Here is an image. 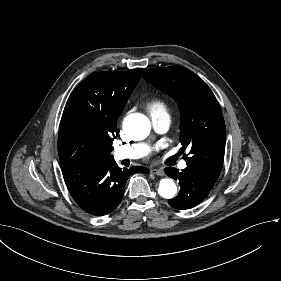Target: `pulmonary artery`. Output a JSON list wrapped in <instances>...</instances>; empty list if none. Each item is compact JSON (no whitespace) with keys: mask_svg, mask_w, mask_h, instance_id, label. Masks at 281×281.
Returning <instances> with one entry per match:
<instances>
[{"mask_svg":"<svg viewBox=\"0 0 281 281\" xmlns=\"http://www.w3.org/2000/svg\"><path fill=\"white\" fill-rule=\"evenodd\" d=\"M150 122L151 125L156 129L155 133L160 134L166 129L169 122V116L164 112L158 111L151 116ZM147 151L148 146L146 144H130L127 146L116 147L113 151V155L116 160L125 158L134 159L146 154ZM179 167L180 169H185L187 167V163L185 161H181Z\"/></svg>","mask_w":281,"mask_h":281,"instance_id":"e3ab8cb5","label":"pulmonary artery"}]
</instances>
